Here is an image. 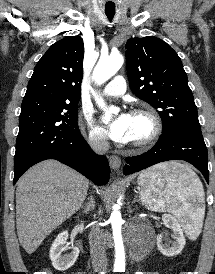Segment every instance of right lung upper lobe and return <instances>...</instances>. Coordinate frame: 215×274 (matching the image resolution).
<instances>
[{
	"mask_svg": "<svg viewBox=\"0 0 215 274\" xmlns=\"http://www.w3.org/2000/svg\"><path fill=\"white\" fill-rule=\"evenodd\" d=\"M83 55L80 36H68L54 43L35 66L22 104L37 100L78 102Z\"/></svg>",
	"mask_w": 215,
	"mask_h": 274,
	"instance_id": "1",
	"label": "right lung upper lobe"
}]
</instances>
